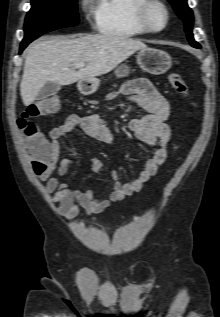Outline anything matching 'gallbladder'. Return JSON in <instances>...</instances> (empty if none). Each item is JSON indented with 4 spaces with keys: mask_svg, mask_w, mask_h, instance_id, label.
<instances>
[{
    "mask_svg": "<svg viewBox=\"0 0 220 317\" xmlns=\"http://www.w3.org/2000/svg\"><path fill=\"white\" fill-rule=\"evenodd\" d=\"M61 89V85L55 82H47L37 94L39 100L56 95Z\"/></svg>",
    "mask_w": 220,
    "mask_h": 317,
    "instance_id": "obj_1",
    "label": "gallbladder"
}]
</instances>
